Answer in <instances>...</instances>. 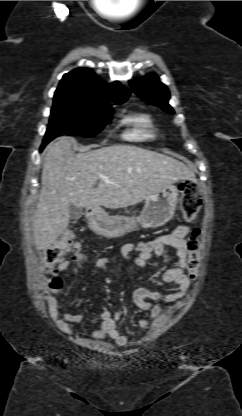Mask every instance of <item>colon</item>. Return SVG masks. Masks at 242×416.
<instances>
[{"label":"colon","mask_w":242,"mask_h":416,"mask_svg":"<svg viewBox=\"0 0 242 416\" xmlns=\"http://www.w3.org/2000/svg\"><path fill=\"white\" fill-rule=\"evenodd\" d=\"M181 193L183 219L185 222H192L202 204L198 183L195 180L185 181L181 185ZM199 236V230L195 229L186 241L187 268L192 279H196L199 276L201 269V246ZM69 253L77 259L83 256L79 242L69 233L63 234L59 239L53 242L44 253L43 261L47 279L43 288V294L47 300H50L52 296H56L61 291L62 280L57 275L56 266L59 265Z\"/></svg>","instance_id":"obj_1"}]
</instances>
